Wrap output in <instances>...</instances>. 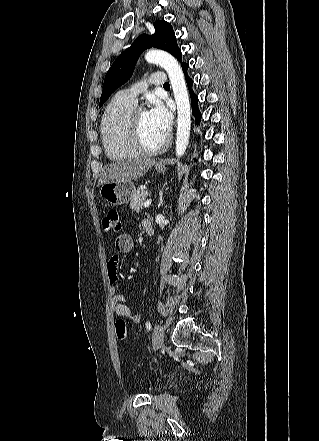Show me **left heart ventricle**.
<instances>
[{
  "mask_svg": "<svg viewBox=\"0 0 319 441\" xmlns=\"http://www.w3.org/2000/svg\"><path fill=\"white\" fill-rule=\"evenodd\" d=\"M140 132L143 143L150 148L160 145L164 139L163 136L153 125L148 112L141 111L139 113Z\"/></svg>",
  "mask_w": 319,
  "mask_h": 441,
  "instance_id": "b2bd125f",
  "label": "left heart ventricle"
}]
</instances>
